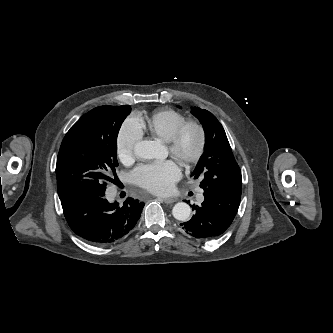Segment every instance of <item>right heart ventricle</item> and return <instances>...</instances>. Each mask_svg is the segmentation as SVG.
<instances>
[{
    "mask_svg": "<svg viewBox=\"0 0 333 333\" xmlns=\"http://www.w3.org/2000/svg\"><path fill=\"white\" fill-rule=\"evenodd\" d=\"M186 120L185 116L172 109L153 112L141 126L142 131L169 141L175 129Z\"/></svg>",
    "mask_w": 333,
    "mask_h": 333,
    "instance_id": "obj_1",
    "label": "right heart ventricle"
}]
</instances>
